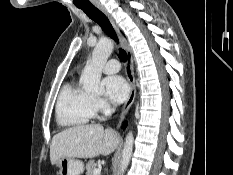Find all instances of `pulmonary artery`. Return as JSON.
Returning a JSON list of instances; mask_svg holds the SVG:
<instances>
[{
	"label": "pulmonary artery",
	"mask_w": 233,
	"mask_h": 175,
	"mask_svg": "<svg viewBox=\"0 0 233 175\" xmlns=\"http://www.w3.org/2000/svg\"><path fill=\"white\" fill-rule=\"evenodd\" d=\"M120 70V63L116 59H110L103 67L106 74H113Z\"/></svg>",
	"instance_id": "e3ab8cb5"
}]
</instances>
